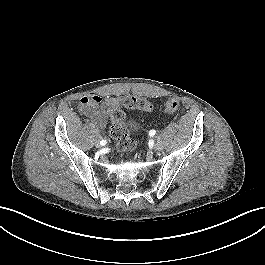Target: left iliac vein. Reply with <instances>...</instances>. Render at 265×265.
I'll use <instances>...</instances> for the list:
<instances>
[{"label":"left iliac vein","mask_w":265,"mask_h":265,"mask_svg":"<svg viewBox=\"0 0 265 265\" xmlns=\"http://www.w3.org/2000/svg\"><path fill=\"white\" fill-rule=\"evenodd\" d=\"M163 149V143L160 139H157L156 143L154 144L155 151H161Z\"/></svg>","instance_id":"1"}]
</instances>
